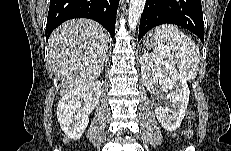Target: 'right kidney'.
Returning a JSON list of instances; mask_svg holds the SVG:
<instances>
[{"label": "right kidney", "mask_w": 231, "mask_h": 151, "mask_svg": "<svg viewBox=\"0 0 231 151\" xmlns=\"http://www.w3.org/2000/svg\"><path fill=\"white\" fill-rule=\"evenodd\" d=\"M101 96V82L94 80L66 93L58 103L57 119L66 136L72 140L81 138L89 123V115ZM81 99L84 105L81 106Z\"/></svg>", "instance_id": "right-kidney-1"}]
</instances>
